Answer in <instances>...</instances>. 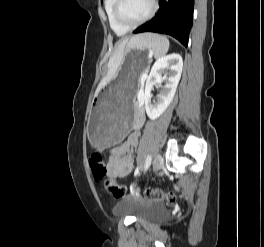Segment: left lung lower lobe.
<instances>
[{"mask_svg":"<svg viewBox=\"0 0 264 247\" xmlns=\"http://www.w3.org/2000/svg\"><path fill=\"white\" fill-rule=\"evenodd\" d=\"M159 5L158 13L133 33L167 34L186 47L193 25L194 0H159Z\"/></svg>","mask_w":264,"mask_h":247,"instance_id":"left-lung-lower-lobe-1","label":"left lung lower lobe"}]
</instances>
